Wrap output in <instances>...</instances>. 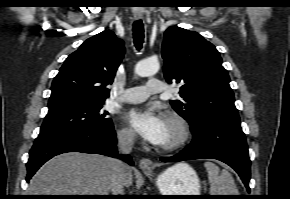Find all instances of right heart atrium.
I'll use <instances>...</instances> for the list:
<instances>
[{"mask_svg": "<svg viewBox=\"0 0 290 199\" xmlns=\"http://www.w3.org/2000/svg\"><path fill=\"white\" fill-rule=\"evenodd\" d=\"M119 139L122 143L131 145L135 141V134L134 132L126 127H123L118 132Z\"/></svg>", "mask_w": 290, "mask_h": 199, "instance_id": "obj_1", "label": "right heart atrium"}]
</instances>
